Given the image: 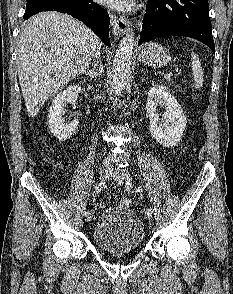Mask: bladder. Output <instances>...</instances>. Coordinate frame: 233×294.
I'll return each instance as SVG.
<instances>
[{
	"label": "bladder",
	"instance_id": "bladder-1",
	"mask_svg": "<svg viewBox=\"0 0 233 294\" xmlns=\"http://www.w3.org/2000/svg\"><path fill=\"white\" fill-rule=\"evenodd\" d=\"M145 238V230L139 216L126 207L105 210L93 229L96 246L112 255H124L138 251Z\"/></svg>",
	"mask_w": 233,
	"mask_h": 294
}]
</instances>
